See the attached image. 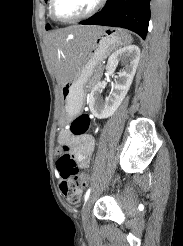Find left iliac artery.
Wrapping results in <instances>:
<instances>
[{
	"instance_id": "44dca946",
	"label": "left iliac artery",
	"mask_w": 183,
	"mask_h": 246,
	"mask_svg": "<svg viewBox=\"0 0 183 246\" xmlns=\"http://www.w3.org/2000/svg\"><path fill=\"white\" fill-rule=\"evenodd\" d=\"M90 192H91V188H89V189L86 191L85 195H84V200H85V202L88 200L89 195H90Z\"/></svg>"
}]
</instances>
